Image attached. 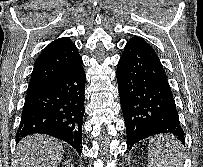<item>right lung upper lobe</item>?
Listing matches in <instances>:
<instances>
[{
	"label": "right lung upper lobe",
	"instance_id": "right-lung-upper-lobe-1",
	"mask_svg": "<svg viewBox=\"0 0 203 167\" xmlns=\"http://www.w3.org/2000/svg\"><path fill=\"white\" fill-rule=\"evenodd\" d=\"M79 57L76 46L68 37L54 40L35 61L27 91L44 87L69 69Z\"/></svg>",
	"mask_w": 203,
	"mask_h": 167
}]
</instances>
